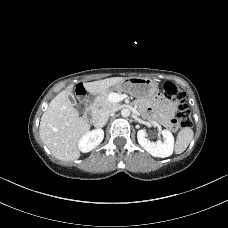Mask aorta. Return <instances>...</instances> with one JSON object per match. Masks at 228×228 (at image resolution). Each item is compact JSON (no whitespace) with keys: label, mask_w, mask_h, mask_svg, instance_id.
Segmentation results:
<instances>
[{"label":"aorta","mask_w":228,"mask_h":228,"mask_svg":"<svg viewBox=\"0 0 228 228\" xmlns=\"http://www.w3.org/2000/svg\"><path fill=\"white\" fill-rule=\"evenodd\" d=\"M121 115H122L123 117H129V115H130V110H129L128 108H123V109L121 110Z\"/></svg>","instance_id":"obj_1"}]
</instances>
